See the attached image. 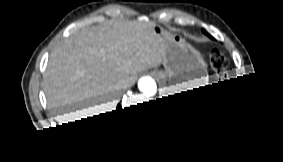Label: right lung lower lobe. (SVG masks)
Returning a JSON list of instances; mask_svg holds the SVG:
<instances>
[{"mask_svg": "<svg viewBox=\"0 0 283 162\" xmlns=\"http://www.w3.org/2000/svg\"><path fill=\"white\" fill-rule=\"evenodd\" d=\"M106 115H108L106 118H101ZM122 115L123 109L118 104L116 110L112 112L100 114L99 116L88 117L81 121L62 124L60 127L69 133H76L79 140L94 139L115 131L113 128L120 121Z\"/></svg>", "mask_w": 283, "mask_h": 162, "instance_id": "1", "label": "right lung lower lobe"}]
</instances>
